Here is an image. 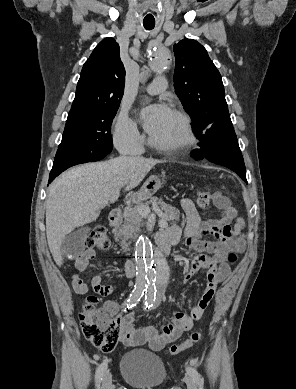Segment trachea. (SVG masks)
<instances>
[{"mask_svg": "<svg viewBox=\"0 0 296 389\" xmlns=\"http://www.w3.org/2000/svg\"><path fill=\"white\" fill-rule=\"evenodd\" d=\"M143 25L146 30H152L155 26V24H147V23H144Z\"/></svg>", "mask_w": 296, "mask_h": 389, "instance_id": "obj_1", "label": "trachea"}]
</instances>
